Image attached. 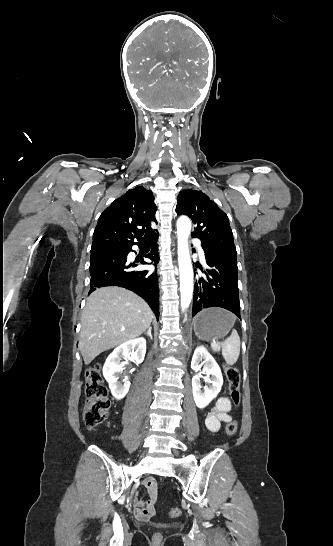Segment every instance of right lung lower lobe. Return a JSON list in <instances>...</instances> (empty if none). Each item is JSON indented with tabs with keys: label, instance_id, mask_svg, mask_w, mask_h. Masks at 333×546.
Listing matches in <instances>:
<instances>
[{
	"label": "right lung lower lobe",
	"instance_id": "obj_1",
	"mask_svg": "<svg viewBox=\"0 0 333 546\" xmlns=\"http://www.w3.org/2000/svg\"><path fill=\"white\" fill-rule=\"evenodd\" d=\"M158 235L155 233L143 241L135 243H110L91 248L90 275L91 289L105 286H120L129 289L141 296L151 307L157 319L159 318V288L155 272L148 270L138 271L135 262H129L127 255L133 245L142 247L152 242V250L146 255L156 266L159 261ZM141 264H148L141 260Z\"/></svg>",
	"mask_w": 333,
	"mask_h": 546
}]
</instances>
